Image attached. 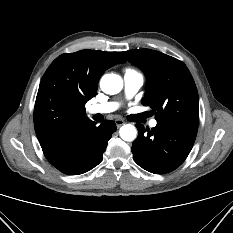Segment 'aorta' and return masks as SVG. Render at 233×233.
<instances>
[{
	"label": "aorta",
	"instance_id": "obj_1",
	"mask_svg": "<svg viewBox=\"0 0 233 233\" xmlns=\"http://www.w3.org/2000/svg\"><path fill=\"white\" fill-rule=\"evenodd\" d=\"M100 87L106 94L114 95L123 88V80L116 74H105L100 81ZM120 137L124 141L131 142L136 138V128L131 124L123 125L119 130Z\"/></svg>",
	"mask_w": 233,
	"mask_h": 233
}]
</instances>
